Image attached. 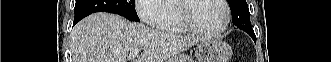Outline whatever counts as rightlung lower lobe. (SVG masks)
Masks as SVG:
<instances>
[{"mask_svg":"<svg viewBox=\"0 0 331 62\" xmlns=\"http://www.w3.org/2000/svg\"><path fill=\"white\" fill-rule=\"evenodd\" d=\"M77 22H78V21L74 20V23H73V25H75Z\"/></svg>","mask_w":331,"mask_h":62,"instance_id":"obj_1","label":"right lung lower lobe"}]
</instances>
